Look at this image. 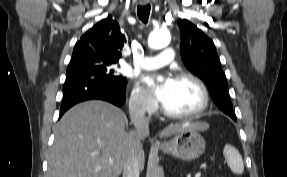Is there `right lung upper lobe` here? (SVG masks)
Masks as SVG:
<instances>
[{
  "label": "right lung upper lobe",
  "instance_id": "cb5924a9",
  "mask_svg": "<svg viewBox=\"0 0 287 177\" xmlns=\"http://www.w3.org/2000/svg\"><path fill=\"white\" fill-rule=\"evenodd\" d=\"M126 43L119 24L105 18L89 29L76 43L70 62L100 59L117 63Z\"/></svg>",
  "mask_w": 287,
  "mask_h": 177
}]
</instances>
